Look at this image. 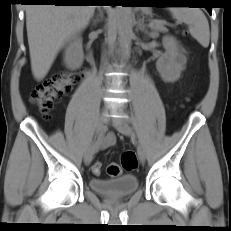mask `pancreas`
<instances>
[{"mask_svg":"<svg viewBox=\"0 0 231 231\" xmlns=\"http://www.w3.org/2000/svg\"><path fill=\"white\" fill-rule=\"evenodd\" d=\"M166 22L161 20H152L150 22V27L152 30L159 32H166L167 28L165 27Z\"/></svg>","mask_w":231,"mask_h":231,"instance_id":"obj_1","label":"pancreas"}]
</instances>
